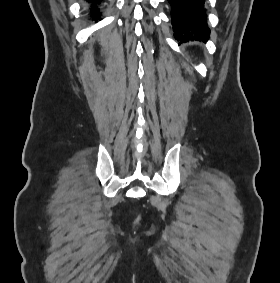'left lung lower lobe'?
<instances>
[{
  "mask_svg": "<svg viewBox=\"0 0 280 283\" xmlns=\"http://www.w3.org/2000/svg\"><path fill=\"white\" fill-rule=\"evenodd\" d=\"M171 5V19L175 39L207 40L210 30L206 23L204 0H168Z\"/></svg>",
  "mask_w": 280,
  "mask_h": 283,
  "instance_id": "left-lung-lower-lobe-1",
  "label": "left lung lower lobe"
}]
</instances>
